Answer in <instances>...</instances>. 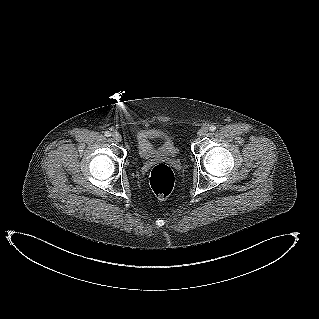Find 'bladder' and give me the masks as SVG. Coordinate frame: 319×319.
Masks as SVG:
<instances>
[{"label":"bladder","instance_id":"31cf9c89","mask_svg":"<svg viewBox=\"0 0 319 319\" xmlns=\"http://www.w3.org/2000/svg\"><path fill=\"white\" fill-rule=\"evenodd\" d=\"M138 155L144 160L175 158L179 154L174 141L158 130H144L136 136Z\"/></svg>","mask_w":319,"mask_h":319}]
</instances>
